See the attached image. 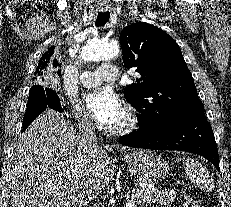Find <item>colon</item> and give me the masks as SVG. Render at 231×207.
<instances>
[{
  "label": "colon",
  "instance_id": "1",
  "mask_svg": "<svg viewBox=\"0 0 231 207\" xmlns=\"http://www.w3.org/2000/svg\"><path fill=\"white\" fill-rule=\"evenodd\" d=\"M185 207H201V205L195 199L188 198L185 202Z\"/></svg>",
  "mask_w": 231,
  "mask_h": 207
}]
</instances>
